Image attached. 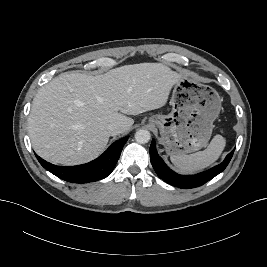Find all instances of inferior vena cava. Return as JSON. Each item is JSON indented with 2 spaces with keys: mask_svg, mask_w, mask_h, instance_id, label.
Segmentation results:
<instances>
[{
  "mask_svg": "<svg viewBox=\"0 0 267 267\" xmlns=\"http://www.w3.org/2000/svg\"><path fill=\"white\" fill-rule=\"evenodd\" d=\"M107 131L111 136H115L123 132V127L119 123H110L107 126Z\"/></svg>",
  "mask_w": 267,
  "mask_h": 267,
  "instance_id": "obj_1",
  "label": "inferior vena cava"
}]
</instances>
